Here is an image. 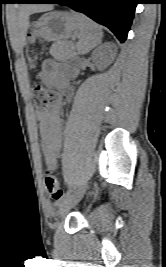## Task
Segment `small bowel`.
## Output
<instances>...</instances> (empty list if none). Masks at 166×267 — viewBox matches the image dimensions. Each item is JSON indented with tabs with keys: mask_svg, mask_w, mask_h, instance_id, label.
Listing matches in <instances>:
<instances>
[{
	"mask_svg": "<svg viewBox=\"0 0 166 267\" xmlns=\"http://www.w3.org/2000/svg\"><path fill=\"white\" fill-rule=\"evenodd\" d=\"M75 74L74 69L67 68L65 73L55 60L47 59L42 65L39 78L44 84L56 87L67 99H70L72 89L69 86V77ZM35 116L39 122L41 149L45 163L49 168L56 169L62 145L63 120L60 116V106L54 105L46 110H38Z\"/></svg>",
	"mask_w": 166,
	"mask_h": 267,
	"instance_id": "1",
	"label": "small bowel"
}]
</instances>
